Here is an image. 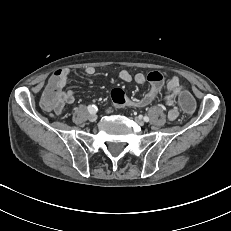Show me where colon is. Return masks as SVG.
Segmentation results:
<instances>
[{
  "instance_id": "1",
  "label": "colon",
  "mask_w": 231,
  "mask_h": 231,
  "mask_svg": "<svg viewBox=\"0 0 231 231\" xmlns=\"http://www.w3.org/2000/svg\"><path fill=\"white\" fill-rule=\"evenodd\" d=\"M62 77V71L59 68L50 69L47 72L46 90L42 99V103L46 108H50L56 102V88L59 83V79ZM179 107L183 110L186 116H192L196 110V101L193 95L185 88H180L177 91ZM111 98L115 105L122 106L127 102L128 97L121 89H114L111 92Z\"/></svg>"
}]
</instances>
